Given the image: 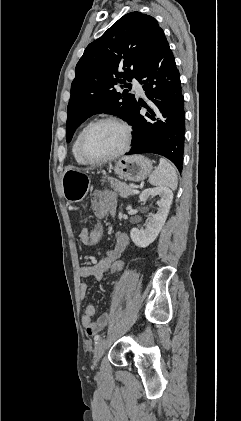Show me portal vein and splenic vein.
Listing matches in <instances>:
<instances>
[{
    "label": "portal vein and splenic vein",
    "mask_w": 241,
    "mask_h": 421,
    "mask_svg": "<svg viewBox=\"0 0 241 421\" xmlns=\"http://www.w3.org/2000/svg\"><path fill=\"white\" fill-rule=\"evenodd\" d=\"M133 192L136 193V194L139 193V191L136 190V189H133Z\"/></svg>",
    "instance_id": "portal-vein-and-splenic-vein-1"
}]
</instances>
